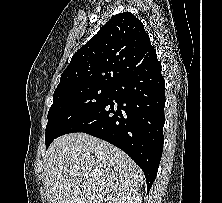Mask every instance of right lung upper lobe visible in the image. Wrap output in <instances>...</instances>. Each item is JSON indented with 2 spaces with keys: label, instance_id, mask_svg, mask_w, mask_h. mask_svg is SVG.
<instances>
[{
  "label": "right lung upper lobe",
  "instance_id": "1",
  "mask_svg": "<svg viewBox=\"0 0 222 203\" xmlns=\"http://www.w3.org/2000/svg\"><path fill=\"white\" fill-rule=\"evenodd\" d=\"M156 58L142 22L129 12L119 13L73 55L55 91L83 85L111 87Z\"/></svg>",
  "mask_w": 222,
  "mask_h": 203
}]
</instances>
